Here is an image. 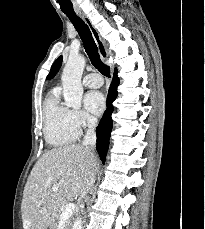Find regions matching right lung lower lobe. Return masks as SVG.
Segmentation results:
<instances>
[{"instance_id":"1","label":"right lung lower lobe","mask_w":205,"mask_h":229,"mask_svg":"<svg viewBox=\"0 0 205 229\" xmlns=\"http://www.w3.org/2000/svg\"><path fill=\"white\" fill-rule=\"evenodd\" d=\"M119 85V78L117 76V71L114 73L113 81L110 85L108 97H107V109L104 112L102 119L100 120L99 125L96 128L97 142L96 149L102 160V163H105V158L109 146L110 133L112 130L113 122L111 114L113 112L112 102L117 97V87Z\"/></svg>"}]
</instances>
